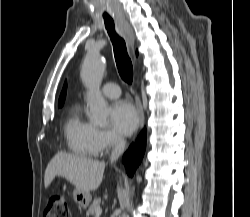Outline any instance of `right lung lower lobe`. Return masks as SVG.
<instances>
[{
    "label": "right lung lower lobe",
    "instance_id": "1",
    "mask_svg": "<svg viewBox=\"0 0 250 217\" xmlns=\"http://www.w3.org/2000/svg\"><path fill=\"white\" fill-rule=\"evenodd\" d=\"M146 148V128L142 130L135 144H132L123 157L129 176H133L135 170L142 161Z\"/></svg>",
    "mask_w": 250,
    "mask_h": 217
}]
</instances>
